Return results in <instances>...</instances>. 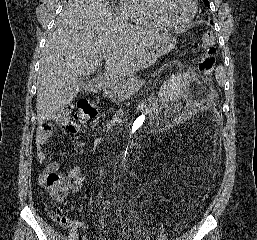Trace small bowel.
<instances>
[{
  "instance_id": "c3829d8e",
  "label": "small bowel",
  "mask_w": 257,
  "mask_h": 240,
  "mask_svg": "<svg viewBox=\"0 0 257 240\" xmlns=\"http://www.w3.org/2000/svg\"><path fill=\"white\" fill-rule=\"evenodd\" d=\"M69 132H75L72 128L68 127ZM52 134L50 132H44L40 130L37 135V159L39 162H43L46 159V153L42 150V146L46 144L51 138ZM59 170V163L57 161H51L48 163L45 173H56ZM64 178L69 181V189L72 193H78L84 183V175L80 167H75L70 170ZM70 226L73 227L74 224L70 223ZM82 240H88L85 236L82 237Z\"/></svg>"
}]
</instances>
